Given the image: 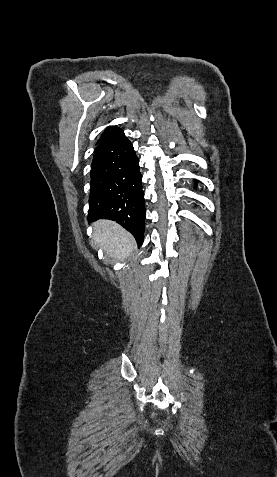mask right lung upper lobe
Listing matches in <instances>:
<instances>
[{"instance_id":"right-lung-upper-lobe-1","label":"right lung upper lobe","mask_w":277,"mask_h":477,"mask_svg":"<svg viewBox=\"0 0 277 477\" xmlns=\"http://www.w3.org/2000/svg\"><path fill=\"white\" fill-rule=\"evenodd\" d=\"M118 129H120V128H116V126H114L112 129H110L109 127L106 128V130L102 133L100 139L97 141V144L104 141L105 139H107L109 136H111Z\"/></svg>"}]
</instances>
